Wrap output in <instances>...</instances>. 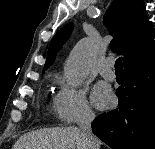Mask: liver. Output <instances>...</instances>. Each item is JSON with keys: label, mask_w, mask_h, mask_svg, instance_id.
Here are the masks:
<instances>
[{"label": "liver", "mask_w": 155, "mask_h": 149, "mask_svg": "<svg viewBox=\"0 0 155 149\" xmlns=\"http://www.w3.org/2000/svg\"><path fill=\"white\" fill-rule=\"evenodd\" d=\"M87 147L81 129L63 127L26 133L18 139L13 149H88Z\"/></svg>", "instance_id": "1"}]
</instances>
